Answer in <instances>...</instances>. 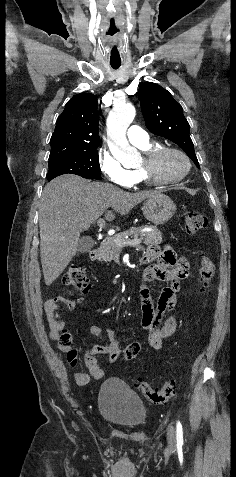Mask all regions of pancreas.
<instances>
[{"label": "pancreas", "mask_w": 236, "mask_h": 477, "mask_svg": "<svg viewBox=\"0 0 236 477\" xmlns=\"http://www.w3.org/2000/svg\"><path fill=\"white\" fill-rule=\"evenodd\" d=\"M143 228V226L132 227L130 230L116 234L114 237L106 238L100 246L99 260L108 262L114 260L120 254L122 247L114 242L115 238L126 240L128 237L137 238L140 235L146 245L162 243V233L159 230L154 229L150 232L141 233Z\"/></svg>", "instance_id": "obj_1"}]
</instances>
